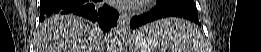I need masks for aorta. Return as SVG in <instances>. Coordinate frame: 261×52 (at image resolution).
Segmentation results:
<instances>
[{
  "mask_svg": "<svg viewBox=\"0 0 261 52\" xmlns=\"http://www.w3.org/2000/svg\"><path fill=\"white\" fill-rule=\"evenodd\" d=\"M125 40V28L122 26H117L113 33L111 34V42L114 45V51L123 50Z\"/></svg>",
  "mask_w": 261,
  "mask_h": 52,
  "instance_id": "obj_1",
  "label": "aorta"
}]
</instances>
